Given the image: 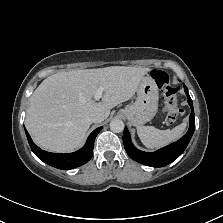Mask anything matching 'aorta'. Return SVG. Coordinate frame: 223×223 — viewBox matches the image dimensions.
Instances as JSON below:
<instances>
[{"label": "aorta", "mask_w": 223, "mask_h": 223, "mask_svg": "<svg viewBox=\"0 0 223 223\" xmlns=\"http://www.w3.org/2000/svg\"><path fill=\"white\" fill-rule=\"evenodd\" d=\"M124 122L121 119H113L110 122V129L113 132H122L124 130Z\"/></svg>", "instance_id": "1"}]
</instances>
